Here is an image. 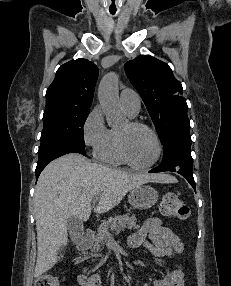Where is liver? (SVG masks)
<instances>
[{
	"label": "liver",
	"mask_w": 231,
	"mask_h": 286,
	"mask_svg": "<svg viewBox=\"0 0 231 286\" xmlns=\"http://www.w3.org/2000/svg\"><path fill=\"white\" fill-rule=\"evenodd\" d=\"M176 181L167 174H130L108 168L91 163L77 153L66 154L49 163L39 176L34 194L37 230L34 277H40L56 264L58 252L68 243V219L77 217L87 221L94 197H99L95 212L105 213L137 186Z\"/></svg>",
	"instance_id": "obj_1"
}]
</instances>
